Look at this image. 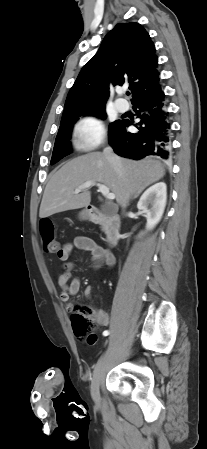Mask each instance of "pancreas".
Wrapping results in <instances>:
<instances>
[{
    "label": "pancreas",
    "instance_id": "obj_1",
    "mask_svg": "<svg viewBox=\"0 0 207 449\" xmlns=\"http://www.w3.org/2000/svg\"><path fill=\"white\" fill-rule=\"evenodd\" d=\"M101 228H102V231H106L108 229V226L106 223H102Z\"/></svg>",
    "mask_w": 207,
    "mask_h": 449
}]
</instances>
